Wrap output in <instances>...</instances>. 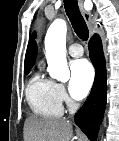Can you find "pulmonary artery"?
Here are the masks:
<instances>
[{"label": "pulmonary artery", "instance_id": "pulmonary-artery-1", "mask_svg": "<svg viewBox=\"0 0 119 141\" xmlns=\"http://www.w3.org/2000/svg\"><path fill=\"white\" fill-rule=\"evenodd\" d=\"M68 53L72 56V57H81L83 55V48L80 44H72L68 47Z\"/></svg>", "mask_w": 119, "mask_h": 141}]
</instances>
